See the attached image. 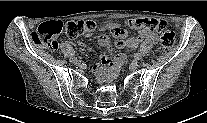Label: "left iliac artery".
<instances>
[{"mask_svg":"<svg viewBox=\"0 0 207 123\" xmlns=\"http://www.w3.org/2000/svg\"><path fill=\"white\" fill-rule=\"evenodd\" d=\"M135 60H140L142 58L141 54L137 53L134 56Z\"/></svg>","mask_w":207,"mask_h":123,"instance_id":"1","label":"left iliac artery"}]
</instances>
